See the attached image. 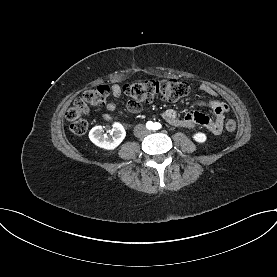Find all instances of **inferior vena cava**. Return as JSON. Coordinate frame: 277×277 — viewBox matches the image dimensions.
<instances>
[{"label":"inferior vena cava","mask_w":277,"mask_h":277,"mask_svg":"<svg viewBox=\"0 0 277 277\" xmlns=\"http://www.w3.org/2000/svg\"><path fill=\"white\" fill-rule=\"evenodd\" d=\"M148 134V130L143 124H138L134 128V135L138 138L145 137Z\"/></svg>","instance_id":"1"}]
</instances>
